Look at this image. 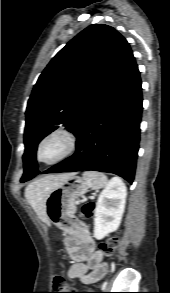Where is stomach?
Listing matches in <instances>:
<instances>
[{
    "instance_id": "0dacf381",
    "label": "stomach",
    "mask_w": 170,
    "mask_h": 293,
    "mask_svg": "<svg viewBox=\"0 0 170 293\" xmlns=\"http://www.w3.org/2000/svg\"><path fill=\"white\" fill-rule=\"evenodd\" d=\"M88 191L84 180L76 174H70L57 184L46 200V214L50 222L58 228L75 232L72 225L77 210V201ZM68 224H71L69 227Z\"/></svg>"
}]
</instances>
